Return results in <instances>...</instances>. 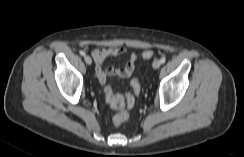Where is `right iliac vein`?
<instances>
[{
  "instance_id": "right-iliac-vein-1",
  "label": "right iliac vein",
  "mask_w": 244,
  "mask_h": 157,
  "mask_svg": "<svg viewBox=\"0 0 244 157\" xmlns=\"http://www.w3.org/2000/svg\"><path fill=\"white\" fill-rule=\"evenodd\" d=\"M84 59H85L86 64H88V65H91L92 64V59H91L90 56H85Z\"/></svg>"
}]
</instances>
